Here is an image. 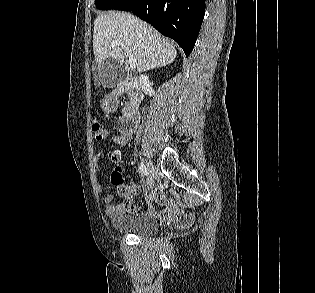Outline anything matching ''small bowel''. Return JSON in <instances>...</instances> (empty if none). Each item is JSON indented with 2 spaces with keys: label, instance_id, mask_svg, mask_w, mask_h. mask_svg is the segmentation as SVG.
Here are the masks:
<instances>
[{
  "label": "small bowel",
  "instance_id": "1",
  "mask_svg": "<svg viewBox=\"0 0 315 293\" xmlns=\"http://www.w3.org/2000/svg\"><path fill=\"white\" fill-rule=\"evenodd\" d=\"M130 135L125 133H120L111 138L110 142L116 145H125L129 142ZM126 187L132 190H123L122 195L125 202L113 203V195L109 193L101 183H97V189L100 193L104 195L105 211L108 215H117L125 211L131 210L134 212H140L139 209L133 206V202H136V194L138 188L134 184H127ZM135 192H134V191ZM147 195L150 201H156L162 206L160 210H156L150 207L149 214L153 217H157L165 222L176 221L178 226L183 227L190 225L192 223V217L186 214L177 204L175 200H167L163 196V192L160 188L148 189Z\"/></svg>",
  "mask_w": 315,
  "mask_h": 293
}]
</instances>
